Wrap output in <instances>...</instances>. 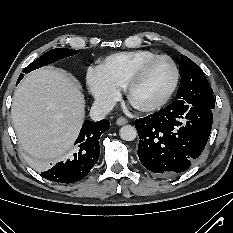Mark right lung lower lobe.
<instances>
[{
    "label": "right lung lower lobe",
    "instance_id": "right-lung-lower-lobe-1",
    "mask_svg": "<svg viewBox=\"0 0 233 233\" xmlns=\"http://www.w3.org/2000/svg\"><path fill=\"white\" fill-rule=\"evenodd\" d=\"M17 80V84L20 82ZM110 129V122L103 119L98 122L85 121L75 142L73 152L51 169L41 173L47 180L60 183H73L83 179L100 156L99 138Z\"/></svg>",
    "mask_w": 233,
    "mask_h": 233
}]
</instances>
